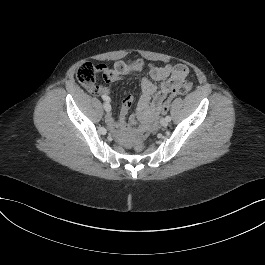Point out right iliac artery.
Wrapping results in <instances>:
<instances>
[{
    "instance_id": "right-iliac-artery-1",
    "label": "right iliac artery",
    "mask_w": 265,
    "mask_h": 265,
    "mask_svg": "<svg viewBox=\"0 0 265 265\" xmlns=\"http://www.w3.org/2000/svg\"><path fill=\"white\" fill-rule=\"evenodd\" d=\"M102 99H103L104 101H107V102L110 101V98H109L108 96H105V95L102 96Z\"/></svg>"
}]
</instances>
